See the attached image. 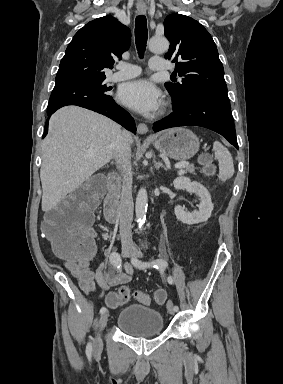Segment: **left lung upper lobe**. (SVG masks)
<instances>
[{
	"instance_id": "left-lung-upper-lobe-1",
	"label": "left lung upper lobe",
	"mask_w": 283,
	"mask_h": 384,
	"mask_svg": "<svg viewBox=\"0 0 283 384\" xmlns=\"http://www.w3.org/2000/svg\"><path fill=\"white\" fill-rule=\"evenodd\" d=\"M170 41L166 59L176 62L175 73L182 81L165 83L174 103H186L195 96L227 94L223 65L215 42L198 21L171 14L164 21Z\"/></svg>"
}]
</instances>
